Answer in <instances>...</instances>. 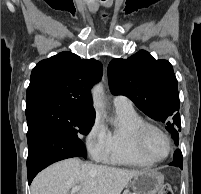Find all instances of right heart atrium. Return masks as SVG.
I'll return each mask as SVG.
<instances>
[{
    "label": "right heart atrium",
    "instance_id": "right-heart-atrium-1",
    "mask_svg": "<svg viewBox=\"0 0 201 194\" xmlns=\"http://www.w3.org/2000/svg\"><path fill=\"white\" fill-rule=\"evenodd\" d=\"M86 145L92 156L99 158L106 148V131L99 116H96L86 134Z\"/></svg>",
    "mask_w": 201,
    "mask_h": 194
}]
</instances>
